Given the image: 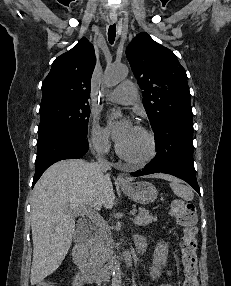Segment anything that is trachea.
Here are the masks:
<instances>
[{"label": "trachea", "mask_w": 231, "mask_h": 286, "mask_svg": "<svg viewBox=\"0 0 231 286\" xmlns=\"http://www.w3.org/2000/svg\"><path fill=\"white\" fill-rule=\"evenodd\" d=\"M116 37V26L115 24L110 25L109 30H108V40L111 44L114 43Z\"/></svg>", "instance_id": "obj_1"}]
</instances>
